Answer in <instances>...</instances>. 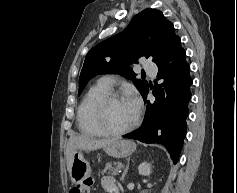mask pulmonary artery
<instances>
[{"instance_id": "pulmonary-artery-1", "label": "pulmonary artery", "mask_w": 237, "mask_h": 193, "mask_svg": "<svg viewBox=\"0 0 237 193\" xmlns=\"http://www.w3.org/2000/svg\"><path fill=\"white\" fill-rule=\"evenodd\" d=\"M144 70L149 74H155L157 72V66L151 61H147L144 63ZM100 83L108 88H112L114 85V81L110 76L101 78Z\"/></svg>"}]
</instances>
